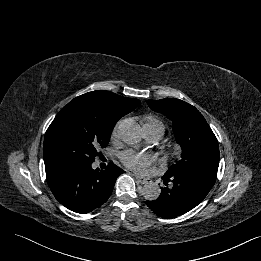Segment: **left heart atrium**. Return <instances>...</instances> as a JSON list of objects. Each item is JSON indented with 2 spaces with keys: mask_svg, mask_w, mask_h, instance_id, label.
<instances>
[{
  "mask_svg": "<svg viewBox=\"0 0 261 261\" xmlns=\"http://www.w3.org/2000/svg\"><path fill=\"white\" fill-rule=\"evenodd\" d=\"M120 158L127 168L137 172H142L152 161L149 155L132 150L123 152Z\"/></svg>",
  "mask_w": 261,
  "mask_h": 261,
  "instance_id": "1",
  "label": "left heart atrium"
}]
</instances>
